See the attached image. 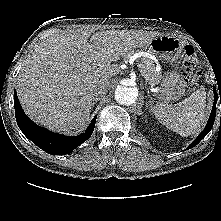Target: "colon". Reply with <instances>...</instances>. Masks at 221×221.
Listing matches in <instances>:
<instances>
[{
    "instance_id": "5ec220e1",
    "label": "colon",
    "mask_w": 221,
    "mask_h": 221,
    "mask_svg": "<svg viewBox=\"0 0 221 221\" xmlns=\"http://www.w3.org/2000/svg\"><path fill=\"white\" fill-rule=\"evenodd\" d=\"M183 79L188 85L196 84L199 78V62L191 45L185 46L183 54Z\"/></svg>"
}]
</instances>
